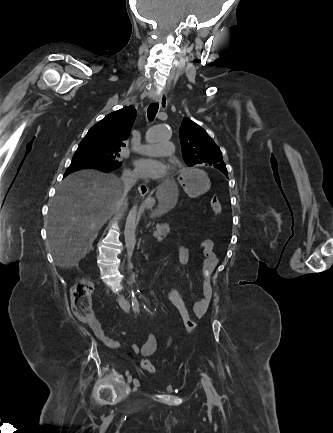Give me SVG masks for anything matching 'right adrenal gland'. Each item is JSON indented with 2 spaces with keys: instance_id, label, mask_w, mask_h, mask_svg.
<instances>
[{
  "instance_id": "1",
  "label": "right adrenal gland",
  "mask_w": 333,
  "mask_h": 433,
  "mask_svg": "<svg viewBox=\"0 0 333 433\" xmlns=\"http://www.w3.org/2000/svg\"><path fill=\"white\" fill-rule=\"evenodd\" d=\"M93 249V245L91 244L88 248V252H90Z\"/></svg>"
}]
</instances>
